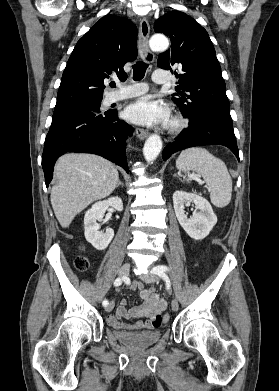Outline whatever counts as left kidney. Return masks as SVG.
<instances>
[{
    "instance_id": "1",
    "label": "left kidney",
    "mask_w": 279,
    "mask_h": 391,
    "mask_svg": "<svg viewBox=\"0 0 279 391\" xmlns=\"http://www.w3.org/2000/svg\"><path fill=\"white\" fill-rule=\"evenodd\" d=\"M193 202L200 211H195L191 218L185 215L184 205ZM173 205L178 222L185 232L195 240H202L209 235L217 223V216L210 203L197 194L176 191L173 194Z\"/></svg>"
}]
</instances>
